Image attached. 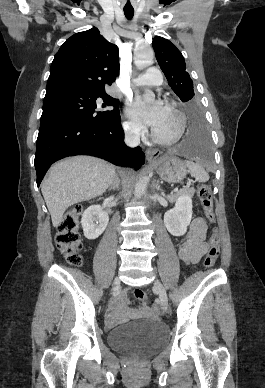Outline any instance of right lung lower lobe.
Instances as JSON below:
<instances>
[{
	"label": "right lung lower lobe",
	"instance_id": "1",
	"mask_svg": "<svg viewBox=\"0 0 265 388\" xmlns=\"http://www.w3.org/2000/svg\"><path fill=\"white\" fill-rule=\"evenodd\" d=\"M123 140L120 117L105 124L91 120H60L40 126L34 161L37 186L51 164L72 155H93L118 166L143 165L145 155L141 148H129Z\"/></svg>",
	"mask_w": 265,
	"mask_h": 388
}]
</instances>
